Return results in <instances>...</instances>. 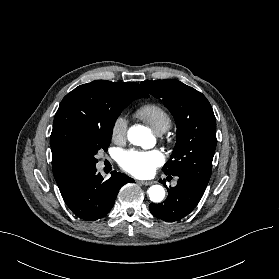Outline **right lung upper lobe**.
Instances as JSON below:
<instances>
[{
  "mask_svg": "<svg viewBox=\"0 0 279 279\" xmlns=\"http://www.w3.org/2000/svg\"><path fill=\"white\" fill-rule=\"evenodd\" d=\"M147 98L148 93L134 82L96 80L83 84L62 100L50 137L52 169L60 192L82 169L79 141L88 131L101 126L105 110L117 98Z\"/></svg>",
  "mask_w": 279,
  "mask_h": 279,
  "instance_id": "obj_1",
  "label": "right lung upper lobe"
}]
</instances>
